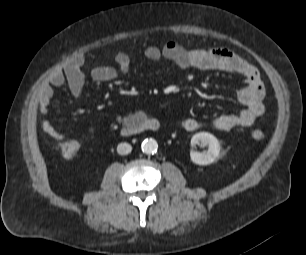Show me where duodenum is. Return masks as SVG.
<instances>
[{
    "mask_svg": "<svg viewBox=\"0 0 306 255\" xmlns=\"http://www.w3.org/2000/svg\"><path fill=\"white\" fill-rule=\"evenodd\" d=\"M158 129L159 123L154 119L137 120L124 127L122 134L125 136H131L142 131H157Z\"/></svg>",
    "mask_w": 306,
    "mask_h": 255,
    "instance_id": "1",
    "label": "duodenum"
}]
</instances>
